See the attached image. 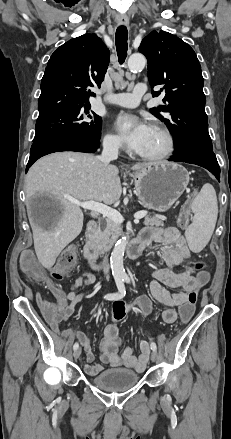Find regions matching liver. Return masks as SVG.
Instances as JSON below:
<instances>
[{
    "instance_id": "obj_1",
    "label": "liver",
    "mask_w": 231,
    "mask_h": 439,
    "mask_svg": "<svg viewBox=\"0 0 231 439\" xmlns=\"http://www.w3.org/2000/svg\"><path fill=\"white\" fill-rule=\"evenodd\" d=\"M154 164H136L131 169L138 171ZM118 174L116 165L105 166L98 156L78 152L52 153L32 165L25 193L35 252L44 268L51 269L61 251L82 231L83 212L70 199L115 203L122 193ZM38 193L53 200L57 209L34 219L31 199Z\"/></svg>"
}]
</instances>
